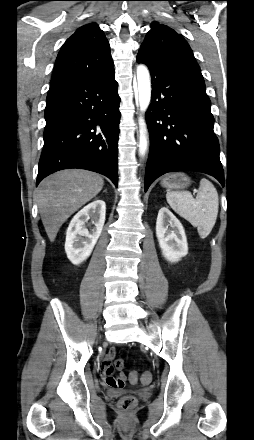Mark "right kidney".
Listing matches in <instances>:
<instances>
[{"label": "right kidney", "instance_id": "obj_1", "mask_svg": "<svg viewBox=\"0 0 254 440\" xmlns=\"http://www.w3.org/2000/svg\"><path fill=\"white\" fill-rule=\"evenodd\" d=\"M106 204L97 199L81 209L71 220L66 231L65 251L68 259L75 265L85 261L91 254L101 235L105 222ZM92 220L91 232L86 227Z\"/></svg>", "mask_w": 254, "mask_h": 440}]
</instances>
